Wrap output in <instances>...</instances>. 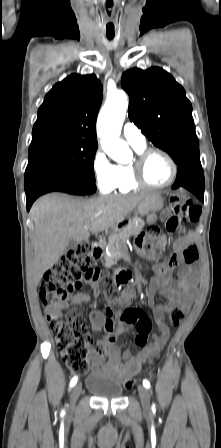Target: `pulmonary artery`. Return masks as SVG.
Wrapping results in <instances>:
<instances>
[{"label": "pulmonary artery", "instance_id": "e3ab8cb5", "mask_svg": "<svg viewBox=\"0 0 221 448\" xmlns=\"http://www.w3.org/2000/svg\"><path fill=\"white\" fill-rule=\"evenodd\" d=\"M123 137L133 147L141 148L146 145V139L140 129L133 123L127 122L123 127Z\"/></svg>", "mask_w": 221, "mask_h": 448}]
</instances>
